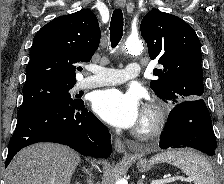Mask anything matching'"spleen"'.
Wrapping results in <instances>:
<instances>
[{"mask_svg": "<svg viewBox=\"0 0 224 184\" xmlns=\"http://www.w3.org/2000/svg\"><path fill=\"white\" fill-rule=\"evenodd\" d=\"M166 162L180 168L194 184H215L214 172L208 160L191 150L166 151L156 154L150 164Z\"/></svg>", "mask_w": 224, "mask_h": 184, "instance_id": "3e777b00", "label": "spleen"}]
</instances>
